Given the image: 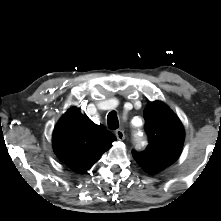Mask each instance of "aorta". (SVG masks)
I'll use <instances>...</instances> for the list:
<instances>
[{"label":"aorta","mask_w":221,"mask_h":221,"mask_svg":"<svg viewBox=\"0 0 221 221\" xmlns=\"http://www.w3.org/2000/svg\"><path fill=\"white\" fill-rule=\"evenodd\" d=\"M134 140L137 146H140L143 143V135L141 130H136L134 132Z\"/></svg>","instance_id":"1"}]
</instances>
